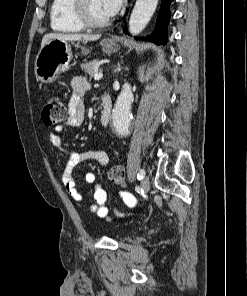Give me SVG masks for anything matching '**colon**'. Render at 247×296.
<instances>
[{
  "label": "colon",
  "mask_w": 247,
  "mask_h": 296,
  "mask_svg": "<svg viewBox=\"0 0 247 296\" xmlns=\"http://www.w3.org/2000/svg\"><path fill=\"white\" fill-rule=\"evenodd\" d=\"M66 117V107L59 98H50L42 110V121L45 125H56ZM110 180L122 187L126 186V173L120 164L113 165L109 170Z\"/></svg>",
  "instance_id": "5ec220e1"
}]
</instances>
